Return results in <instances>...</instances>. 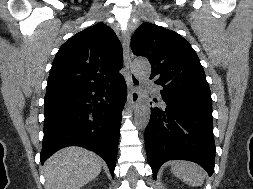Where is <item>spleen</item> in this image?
Returning <instances> with one entry per match:
<instances>
[{"mask_svg": "<svg viewBox=\"0 0 253 189\" xmlns=\"http://www.w3.org/2000/svg\"><path fill=\"white\" fill-rule=\"evenodd\" d=\"M172 173L191 186H200L205 178L204 170L197 164L189 161L171 162Z\"/></svg>", "mask_w": 253, "mask_h": 189, "instance_id": "spleen-1", "label": "spleen"}]
</instances>
